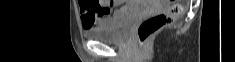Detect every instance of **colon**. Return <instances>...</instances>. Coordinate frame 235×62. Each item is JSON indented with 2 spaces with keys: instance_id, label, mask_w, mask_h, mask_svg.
Here are the masks:
<instances>
[{
  "instance_id": "5ec220e1",
  "label": "colon",
  "mask_w": 235,
  "mask_h": 62,
  "mask_svg": "<svg viewBox=\"0 0 235 62\" xmlns=\"http://www.w3.org/2000/svg\"><path fill=\"white\" fill-rule=\"evenodd\" d=\"M169 6L162 12L146 18L137 29L140 43H145L163 27L172 24L183 12V4L179 0H168ZM96 6V4H94Z\"/></svg>"
}]
</instances>
